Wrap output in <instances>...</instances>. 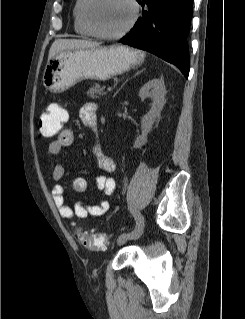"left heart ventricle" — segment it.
Listing matches in <instances>:
<instances>
[{"label":"left heart ventricle","instance_id":"b2bd125f","mask_svg":"<svg viewBox=\"0 0 245 319\" xmlns=\"http://www.w3.org/2000/svg\"><path fill=\"white\" fill-rule=\"evenodd\" d=\"M90 16L100 31L115 33L129 22L132 8L127 0H95Z\"/></svg>","mask_w":245,"mask_h":319}]
</instances>
